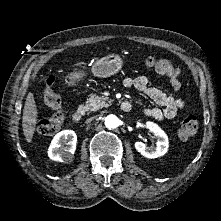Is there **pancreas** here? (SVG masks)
Wrapping results in <instances>:
<instances>
[{
    "label": "pancreas",
    "mask_w": 221,
    "mask_h": 221,
    "mask_svg": "<svg viewBox=\"0 0 221 221\" xmlns=\"http://www.w3.org/2000/svg\"><path fill=\"white\" fill-rule=\"evenodd\" d=\"M110 102L111 101L106 97L91 94L90 97L86 100L84 108L87 111H96L100 108L107 107Z\"/></svg>",
    "instance_id": "1"
}]
</instances>
